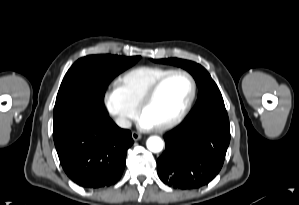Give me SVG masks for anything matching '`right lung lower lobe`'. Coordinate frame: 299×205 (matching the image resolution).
<instances>
[{"label":"right lung lower lobe","instance_id":"obj_1","mask_svg":"<svg viewBox=\"0 0 299 205\" xmlns=\"http://www.w3.org/2000/svg\"><path fill=\"white\" fill-rule=\"evenodd\" d=\"M60 163L68 177L84 188L108 187L123 173L131 132L119 128L108 113L76 111L53 127Z\"/></svg>","mask_w":299,"mask_h":205}]
</instances>
